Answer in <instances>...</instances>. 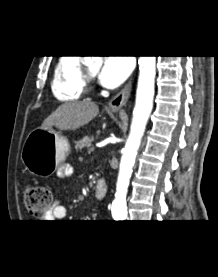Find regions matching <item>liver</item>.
<instances>
[{"mask_svg":"<svg viewBox=\"0 0 218 277\" xmlns=\"http://www.w3.org/2000/svg\"><path fill=\"white\" fill-rule=\"evenodd\" d=\"M99 113V107L88 101L67 102L60 105L42 123L40 129L53 126L60 130H76L88 124Z\"/></svg>","mask_w":218,"mask_h":277,"instance_id":"liver-1","label":"liver"}]
</instances>
